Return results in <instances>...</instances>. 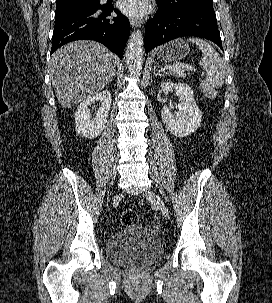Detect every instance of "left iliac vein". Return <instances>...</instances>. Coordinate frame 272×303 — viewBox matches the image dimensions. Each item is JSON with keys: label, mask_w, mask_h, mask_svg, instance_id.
I'll return each instance as SVG.
<instances>
[{"label": "left iliac vein", "mask_w": 272, "mask_h": 303, "mask_svg": "<svg viewBox=\"0 0 272 303\" xmlns=\"http://www.w3.org/2000/svg\"><path fill=\"white\" fill-rule=\"evenodd\" d=\"M146 196L151 200L152 203H154L158 209L161 211V213L167 218L169 219V211L168 208L166 206V204L164 203V201L153 191L151 190H147L146 191Z\"/></svg>", "instance_id": "4c4485c4"}]
</instances>
